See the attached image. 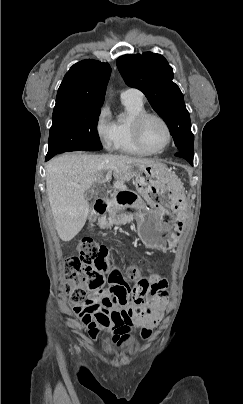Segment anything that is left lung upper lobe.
<instances>
[{
    "mask_svg": "<svg viewBox=\"0 0 243 404\" xmlns=\"http://www.w3.org/2000/svg\"><path fill=\"white\" fill-rule=\"evenodd\" d=\"M130 87L141 90L152 108L164 119L177 151L194 153L190 115L179 87L172 81L173 70L160 54L124 55L116 61Z\"/></svg>",
    "mask_w": 243,
    "mask_h": 404,
    "instance_id": "1",
    "label": "left lung upper lobe"
}]
</instances>
